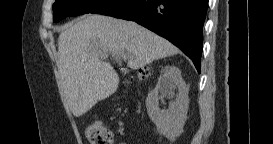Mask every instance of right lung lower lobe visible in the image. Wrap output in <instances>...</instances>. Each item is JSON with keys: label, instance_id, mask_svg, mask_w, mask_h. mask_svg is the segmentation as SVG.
<instances>
[{"label": "right lung lower lobe", "instance_id": "98d812e1", "mask_svg": "<svg viewBox=\"0 0 273 144\" xmlns=\"http://www.w3.org/2000/svg\"><path fill=\"white\" fill-rule=\"evenodd\" d=\"M207 7L208 0H109L91 13L135 21L148 28L183 51L200 73Z\"/></svg>", "mask_w": 273, "mask_h": 144}]
</instances>
